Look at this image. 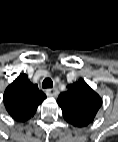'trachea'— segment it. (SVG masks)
Returning a JSON list of instances; mask_svg holds the SVG:
<instances>
[{"label":"trachea","instance_id":"1","mask_svg":"<svg viewBox=\"0 0 118 142\" xmlns=\"http://www.w3.org/2000/svg\"><path fill=\"white\" fill-rule=\"evenodd\" d=\"M42 87L43 88H52L53 87V81L50 78H45L43 80Z\"/></svg>","mask_w":118,"mask_h":142}]
</instances>
